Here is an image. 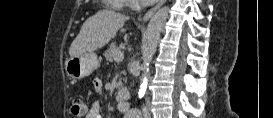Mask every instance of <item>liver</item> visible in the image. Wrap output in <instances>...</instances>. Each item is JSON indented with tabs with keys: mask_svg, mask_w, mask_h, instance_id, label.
I'll use <instances>...</instances> for the list:
<instances>
[{
	"mask_svg": "<svg viewBox=\"0 0 273 118\" xmlns=\"http://www.w3.org/2000/svg\"><path fill=\"white\" fill-rule=\"evenodd\" d=\"M127 19L128 17L111 10L98 11L83 23L79 34L71 43L69 55L78 56L102 48L116 36Z\"/></svg>",
	"mask_w": 273,
	"mask_h": 118,
	"instance_id": "liver-1",
	"label": "liver"
}]
</instances>
